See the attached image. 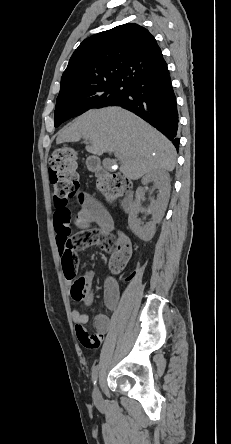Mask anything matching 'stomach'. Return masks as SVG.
I'll use <instances>...</instances> for the list:
<instances>
[{
    "mask_svg": "<svg viewBox=\"0 0 231 444\" xmlns=\"http://www.w3.org/2000/svg\"><path fill=\"white\" fill-rule=\"evenodd\" d=\"M87 166L90 170L95 171L99 168V161L94 157L88 158Z\"/></svg>",
    "mask_w": 231,
    "mask_h": 444,
    "instance_id": "1",
    "label": "stomach"
}]
</instances>
